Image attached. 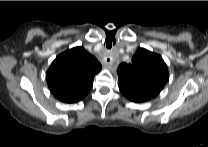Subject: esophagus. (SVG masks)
I'll return each mask as SVG.
<instances>
[{"instance_id": "esophagus-1", "label": "esophagus", "mask_w": 208, "mask_h": 147, "mask_svg": "<svg viewBox=\"0 0 208 147\" xmlns=\"http://www.w3.org/2000/svg\"><path fill=\"white\" fill-rule=\"evenodd\" d=\"M104 67L111 69L112 68V59L111 58H106L104 61Z\"/></svg>"}]
</instances>
